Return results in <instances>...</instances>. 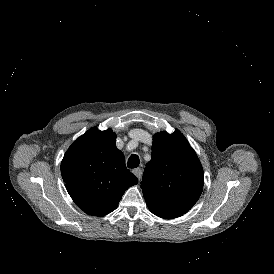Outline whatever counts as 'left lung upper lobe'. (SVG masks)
<instances>
[{"label": "left lung upper lobe", "instance_id": "5c2ea615", "mask_svg": "<svg viewBox=\"0 0 274 274\" xmlns=\"http://www.w3.org/2000/svg\"><path fill=\"white\" fill-rule=\"evenodd\" d=\"M204 185L200 161L180 131L153 136L141 188L148 206L180 214L197 202Z\"/></svg>", "mask_w": 274, "mask_h": 274}]
</instances>
